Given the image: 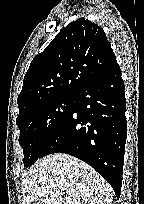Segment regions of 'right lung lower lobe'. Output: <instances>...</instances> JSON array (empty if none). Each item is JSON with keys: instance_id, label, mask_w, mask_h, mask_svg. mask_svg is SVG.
Returning <instances> with one entry per match:
<instances>
[{"instance_id": "98d812e1", "label": "right lung lower lobe", "mask_w": 144, "mask_h": 204, "mask_svg": "<svg viewBox=\"0 0 144 204\" xmlns=\"http://www.w3.org/2000/svg\"><path fill=\"white\" fill-rule=\"evenodd\" d=\"M125 88L116 63L76 96L72 110L49 140L42 157L75 156L92 166L119 198L127 136Z\"/></svg>"}]
</instances>
